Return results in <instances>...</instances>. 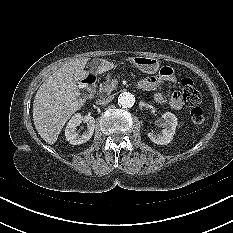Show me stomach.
Wrapping results in <instances>:
<instances>
[{"mask_svg":"<svg viewBox=\"0 0 233 233\" xmlns=\"http://www.w3.org/2000/svg\"><path fill=\"white\" fill-rule=\"evenodd\" d=\"M134 65L144 73L153 74L159 69V61L155 57L137 56L133 59Z\"/></svg>","mask_w":233,"mask_h":233,"instance_id":"0dacf381","label":"stomach"}]
</instances>
